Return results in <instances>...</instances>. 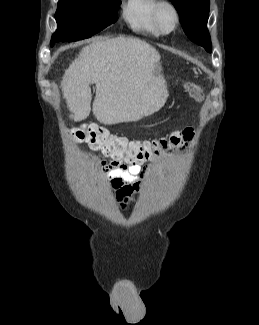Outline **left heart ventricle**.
Segmentation results:
<instances>
[{
	"label": "left heart ventricle",
	"mask_w": 259,
	"mask_h": 325,
	"mask_svg": "<svg viewBox=\"0 0 259 325\" xmlns=\"http://www.w3.org/2000/svg\"><path fill=\"white\" fill-rule=\"evenodd\" d=\"M160 24L163 29L169 30L174 24V14L168 7H163L159 13Z\"/></svg>",
	"instance_id": "obj_1"
}]
</instances>
